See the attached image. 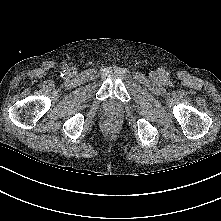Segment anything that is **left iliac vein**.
I'll list each match as a JSON object with an SVG mask.
<instances>
[{
    "mask_svg": "<svg viewBox=\"0 0 221 221\" xmlns=\"http://www.w3.org/2000/svg\"><path fill=\"white\" fill-rule=\"evenodd\" d=\"M159 77H160V75H159L158 72H153V73H152V78H153L154 80L159 79Z\"/></svg>",
    "mask_w": 221,
    "mask_h": 221,
    "instance_id": "left-iliac-vein-1",
    "label": "left iliac vein"
}]
</instances>
